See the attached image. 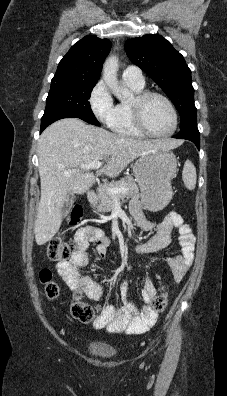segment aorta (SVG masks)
<instances>
[{
  "label": "aorta",
  "mask_w": 227,
  "mask_h": 396,
  "mask_svg": "<svg viewBox=\"0 0 227 396\" xmlns=\"http://www.w3.org/2000/svg\"><path fill=\"white\" fill-rule=\"evenodd\" d=\"M119 61L116 56L109 57L103 66V79L110 91L119 99L124 100L130 96V91L119 85L117 78Z\"/></svg>",
  "instance_id": "obj_1"
}]
</instances>
